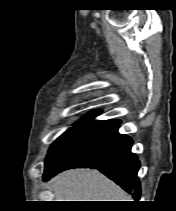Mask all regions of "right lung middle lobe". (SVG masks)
<instances>
[{
  "mask_svg": "<svg viewBox=\"0 0 176 211\" xmlns=\"http://www.w3.org/2000/svg\"><path fill=\"white\" fill-rule=\"evenodd\" d=\"M94 123H78L63 133L50 147L45 165L46 167L56 161L60 155L71 145L80 140L91 129L96 127Z\"/></svg>",
  "mask_w": 176,
  "mask_h": 211,
  "instance_id": "1",
  "label": "right lung middle lobe"
}]
</instances>
